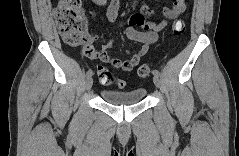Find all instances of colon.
I'll use <instances>...</instances> for the list:
<instances>
[{"instance_id": "1", "label": "colon", "mask_w": 239, "mask_h": 156, "mask_svg": "<svg viewBox=\"0 0 239 156\" xmlns=\"http://www.w3.org/2000/svg\"><path fill=\"white\" fill-rule=\"evenodd\" d=\"M55 18L66 44L78 47L85 46L89 41L84 9L79 0H59L55 6ZM185 31V23L181 20L174 22L172 34L176 37L182 36ZM151 72L149 64H143L138 69V75L142 78ZM98 78L103 84L115 83L119 88L125 86L123 80H115L111 72L105 66L97 68Z\"/></svg>"}]
</instances>
